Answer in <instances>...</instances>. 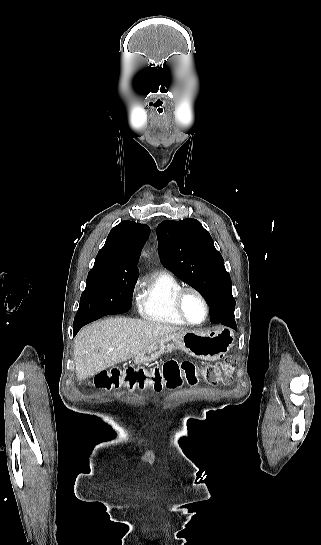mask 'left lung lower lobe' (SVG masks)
<instances>
[{"mask_svg": "<svg viewBox=\"0 0 321 545\" xmlns=\"http://www.w3.org/2000/svg\"><path fill=\"white\" fill-rule=\"evenodd\" d=\"M210 317H211L212 323H221L223 325H226L228 327H231L237 330V326L234 320V314L225 315V314L215 313L213 311H210Z\"/></svg>", "mask_w": 321, "mask_h": 545, "instance_id": "left-lung-lower-lobe-1", "label": "left lung lower lobe"}]
</instances>
